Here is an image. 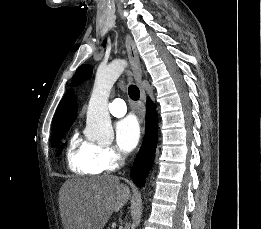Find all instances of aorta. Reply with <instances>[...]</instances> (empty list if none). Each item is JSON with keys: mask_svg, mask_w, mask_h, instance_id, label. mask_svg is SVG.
Here are the masks:
<instances>
[{"mask_svg": "<svg viewBox=\"0 0 261 229\" xmlns=\"http://www.w3.org/2000/svg\"><path fill=\"white\" fill-rule=\"evenodd\" d=\"M127 64L124 58H114L106 66L99 64L97 68L86 115V129L93 139H98L103 135H109V137L113 135L108 98L115 80L119 78Z\"/></svg>", "mask_w": 261, "mask_h": 229, "instance_id": "1", "label": "aorta"}]
</instances>
